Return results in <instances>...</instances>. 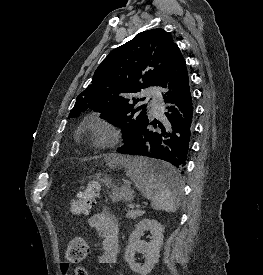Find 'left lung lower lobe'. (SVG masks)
Wrapping results in <instances>:
<instances>
[{"instance_id": "0a47b994", "label": "left lung lower lobe", "mask_w": 263, "mask_h": 275, "mask_svg": "<svg viewBox=\"0 0 263 275\" xmlns=\"http://www.w3.org/2000/svg\"><path fill=\"white\" fill-rule=\"evenodd\" d=\"M158 86L169 88L163 95L164 102L172 104L166 107L167 121L161 124L147 119L117 152L166 162L165 165L154 164L152 174L174 186L186 169L194 121L188 72L180 50L174 53ZM157 125L160 129L151 130V126L156 128Z\"/></svg>"}]
</instances>
